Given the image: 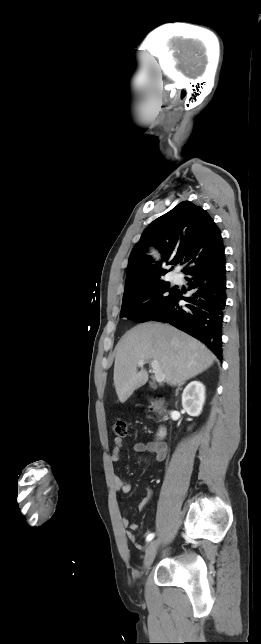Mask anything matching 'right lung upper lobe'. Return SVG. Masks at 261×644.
Instances as JSON below:
<instances>
[{"label": "right lung upper lobe", "instance_id": "1", "mask_svg": "<svg viewBox=\"0 0 261 644\" xmlns=\"http://www.w3.org/2000/svg\"><path fill=\"white\" fill-rule=\"evenodd\" d=\"M154 245L161 262L189 267L212 263L224 256L220 229L209 214L192 202L184 201L154 220L135 244L128 262L125 288L162 280L169 270L147 255ZM183 270V271H184Z\"/></svg>", "mask_w": 261, "mask_h": 644}]
</instances>
